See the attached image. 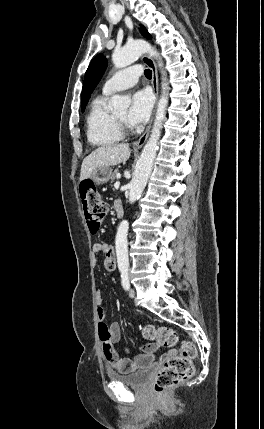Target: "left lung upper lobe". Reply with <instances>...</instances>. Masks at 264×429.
<instances>
[{
    "label": "left lung upper lobe",
    "mask_w": 264,
    "mask_h": 429,
    "mask_svg": "<svg viewBox=\"0 0 264 429\" xmlns=\"http://www.w3.org/2000/svg\"><path fill=\"white\" fill-rule=\"evenodd\" d=\"M141 33L147 37L151 38L150 34L146 30H141ZM107 67V61L102 54H99L93 58L91 61L84 79L83 89H82V98H81V110L84 112L85 106L91 96V93L99 83L105 69Z\"/></svg>",
    "instance_id": "5c2ea615"
}]
</instances>
